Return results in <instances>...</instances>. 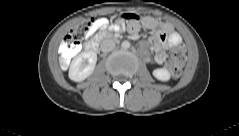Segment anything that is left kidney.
<instances>
[{
	"label": "left kidney",
	"instance_id": "obj_1",
	"mask_svg": "<svg viewBox=\"0 0 239 136\" xmlns=\"http://www.w3.org/2000/svg\"><path fill=\"white\" fill-rule=\"evenodd\" d=\"M152 74L156 79L160 81H168L170 80V77H171L170 72L164 68L155 69L153 70Z\"/></svg>",
	"mask_w": 239,
	"mask_h": 136
}]
</instances>
